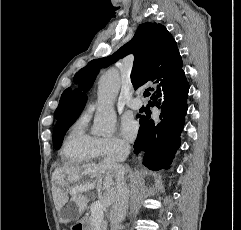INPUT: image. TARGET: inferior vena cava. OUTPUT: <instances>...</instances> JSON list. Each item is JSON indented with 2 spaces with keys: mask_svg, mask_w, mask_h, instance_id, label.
<instances>
[{
  "mask_svg": "<svg viewBox=\"0 0 241 230\" xmlns=\"http://www.w3.org/2000/svg\"><path fill=\"white\" fill-rule=\"evenodd\" d=\"M130 146L121 144L118 150L105 157L103 164L111 167L116 177V195L110 210L111 230H122V222L125 220L128 209L129 189L124 180V175L120 172L122 165L119 162L129 153Z\"/></svg>",
  "mask_w": 241,
  "mask_h": 230,
  "instance_id": "inferior-vena-cava-1",
  "label": "inferior vena cava"
}]
</instances>
